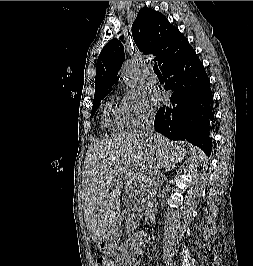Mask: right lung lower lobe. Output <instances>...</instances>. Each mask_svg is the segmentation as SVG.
<instances>
[{"label": "right lung lower lobe", "instance_id": "1", "mask_svg": "<svg viewBox=\"0 0 253 266\" xmlns=\"http://www.w3.org/2000/svg\"><path fill=\"white\" fill-rule=\"evenodd\" d=\"M165 89L172 90L170 104L155 116V130L170 140H187L207 155L212 150L213 95L209 78L193 48L163 70Z\"/></svg>", "mask_w": 253, "mask_h": 266}]
</instances>
